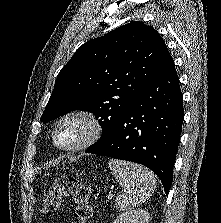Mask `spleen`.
Wrapping results in <instances>:
<instances>
[{"label": "spleen", "mask_w": 221, "mask_h": 223, "mask_svg": "<svg viewBox=\"0 0 221 223\" xmlns=\"http://www.w3.org/2000/svg\"><path fill=\"white\" fill-rule=\"evenodd\" d=\"M108 167L122 192L116 197V208L125 211L145 202L154 192L156 181L147 168L118 159H111Z\"/></svg>", "instance_id": "1"}]
</instances>
